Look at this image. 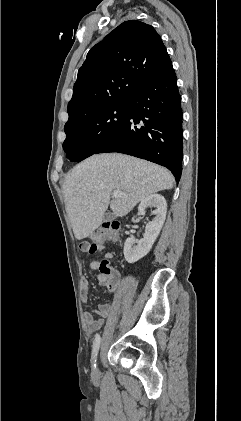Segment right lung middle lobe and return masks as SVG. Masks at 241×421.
<instances>
[{"mask_svg": "<svg viewBox=\"0 0 241 421\" xmlns=\"http://www.w3.org/2000/svg\"><path fill=\"white\" fill-rule=\"evenodd\" d=\"M129 102L122 101L91 113L65 127L63 149L70 161L93 155L125 124Z\"/></svg>", "mask_w": 241, "mask_h": 421, "instance_id": "obj_1", "label": "right lung middle lobe"}]
</instances>
